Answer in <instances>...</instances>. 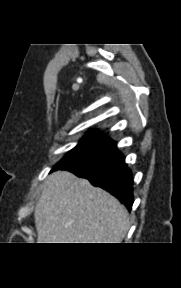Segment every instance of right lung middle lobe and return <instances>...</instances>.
<instances>
[{
	"mask_svg": "<svg viewBox=\"0 0 181 288\" xmlns=\"http://www.w3.org/2000/svg\"><path fill=\"white\" fill-rule=\"evenodd\" d=\"M115 158V153L80 142L73 148L53 170L77 163L97 162Z\"/></svg>",
	"mask_w": 181,
	"mask_h": 288,
	"instance_id": "right-lung-middle-lobe-1",
	"label": "right lung middle lobe"
}]
</instances>
